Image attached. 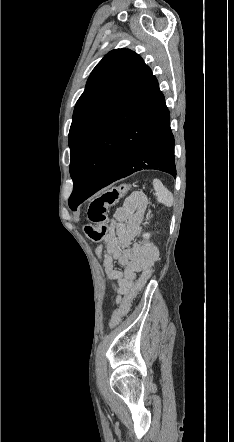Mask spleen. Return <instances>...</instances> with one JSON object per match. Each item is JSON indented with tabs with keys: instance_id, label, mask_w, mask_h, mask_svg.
Here are the masks:
<instances>
[{
	"instance_id": "spleen-1",
	"label": "spleen",
	"mask_w": 234,
	"mask_h": 442,
	"mask_svg": "<svg viewBox=\"0 0 234 442\" xmlns=\"http://www.w3.org/2000/svg\"><path fill=\"white\" fill-rule=\"evenodd\" d=\"M153 187L156 191L157 201L170 207L173 205V196L172 193L162 184V182L158 179L153 180Z\"/></svg>"
}]
</instances>
